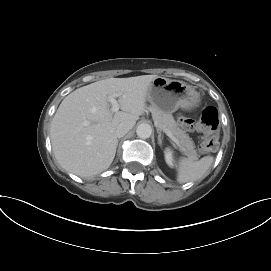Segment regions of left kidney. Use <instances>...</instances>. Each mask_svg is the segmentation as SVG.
Segmentation results:
<instances>
[{
  "mask_svg": "<svg viewBox=\"0 0 271 271\" xmlns=\"http://www.w3.org/2000/svg\"><path fill=\"white\" fill-rule=\"evenodd\" d=\"M164 153H165V161H166V163L170 167H172L173 166V153H172L171 149L167 148Z\"/></svg>",
  "mask_w": 271,
  "mask_h": 271,
  "instance_id": "obj_1",
  "label": "left kidney"
}]
</instances>
